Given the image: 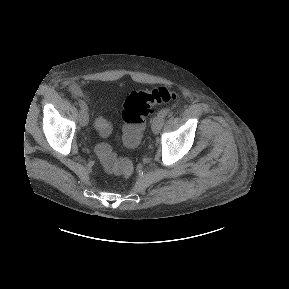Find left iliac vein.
<instances>
[{
  "label": "left iliac vein",
  "instance_id": "obj_1",
  "mask_svg": "<svg viewBox=\"0 0 289 289\" xmlns=\"http://www.w3.org/2000/svg\"><path fill=\"white\" fill-rule=\"evenodd\" d=\"M163 121H164V118L160 115V114H157L152 122H151V129L153 131L154 134H158L161 127H162V124H163Z\"/></svg>",
  "mask_w": 289,
  "mask_h": 289
}]
</instances>
